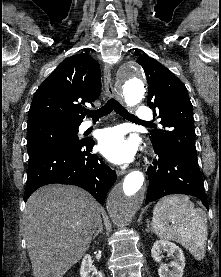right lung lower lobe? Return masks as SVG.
<instances>
[{
    "mask_svg": "<svg viewBox=\"0 0 221 277\" xmlns=\"http://www.w3.org/2000/svg\"><path fill=\"white\" fill-rule=\"evenodd\" d=\"M93 145L88 138L29 157L24 201L39 187L60 183L79 186L104 204L116 173L91 153Z\"/></svg>",
    "mask_w": 221,
    "mask_h": 277,
    "instance_id": "obj_1",
    "label": "right lung lower lobe"
}]
</instances>
